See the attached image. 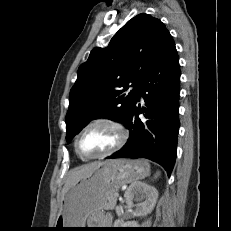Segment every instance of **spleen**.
<instances>
[{
	"instance_id": "1",
	"label": "spleen",
	"mask_w": 231,
	"mask_h": 231,
	"mask_svg": "<svg viewBox=\"0 0 231 231\" xmlns=\"http://www.w3.org/2000/svg\"><path fill=\"white\" fill-rule=\"evenodd\" d=\"M157 176H159V172L155 175V178H156Z\"/></svg>"
}]
</instances>
